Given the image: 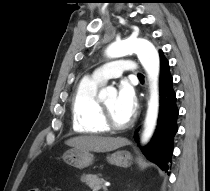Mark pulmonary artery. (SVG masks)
I'll use <instances>...</instances> for the list:
<instances>
[{
	"mask_svg": "<svg viewBox=\"0 0 210 191\" xmlns=\"http://www.w3.org/2000/svg\"><path fill=\"white\" fill-rule=\"evenodd\" d=\"M125 71L130 72L132 75L139 74L137 65L133 61L121 58L106 63L100 69L95 71L92 77L95 81L104 83L109 79L120 77Z\"/></svg>",
	"mask_w": 210,
	"mask_h": 191,
	"instance_id": "obj_1",
	"label": "pulmonary artery"
}]
</instances>
